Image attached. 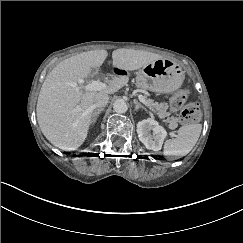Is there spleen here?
<instances>
[{"mask_svg":"<svg viewBox=\"0 0 243 243\" xmlns=\"http://www.w3.org/2000/svg\"><path fill=\"white\" fill-rule=\"evenodd\" d=\"M202 131L201 124H187L178 129L177 136L164 142L165 156H185L196 145Z\"/></svg>","mask_w":243,"mask_h":243,"instance_id":"obj_1","label":"spleen"}]
</instances>
